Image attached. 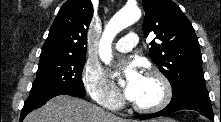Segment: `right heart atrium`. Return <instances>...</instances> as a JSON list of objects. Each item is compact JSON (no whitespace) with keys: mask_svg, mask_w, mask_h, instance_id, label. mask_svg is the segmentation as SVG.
Here are the masks:
<instances>
[{"mask_svg":"<svg viewBox=\"0 0 221 122\" xmlns=\"http://www.w3.org/2000/svg\"><path fill=\"white\" fill-rule=\"evenodd\" d=\"M82 81L88 95L97 104L111 110H116L122 105L121 95L108 84L106 76L99 66L86 64L82 73Z\"/></svg>","mask_w":221,"mask_h":122,"instance_id":"right-heart-atrium-1","label":"right heart atrium"}]
</instances>
